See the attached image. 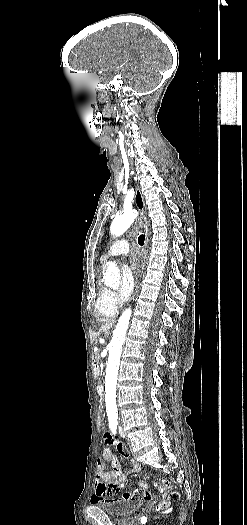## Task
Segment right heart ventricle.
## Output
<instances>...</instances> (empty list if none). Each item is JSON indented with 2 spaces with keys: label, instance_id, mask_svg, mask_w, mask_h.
<instances>
[{
  "label": "right heart ventricle",
  "instance_id": "right-heart-ventricle-1",
  "mask_svg": "<svg viewBox=\"0 0 247 525\" xmlns=\"http://www.w3.org/2000/svg\"><path fill=\"white\" fill-rule=\"evenodd\" d=\"M105 258H102V263ZM108 295V289L105 282L100 278L98 281V302L94 309L95 317H116L118 314V306L115 304L109 305L105 302Z\"/></svg>",
  "mask_w": 247,
  "mask_h": 525
}]
</instances>
